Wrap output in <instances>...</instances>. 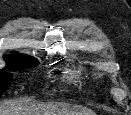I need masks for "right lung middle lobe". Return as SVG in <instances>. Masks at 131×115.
<instances>
[{
  "label": "right lung middle lobe",
  "mask_w": 131,
  "mask_h": 115,
  "mask_svg": "<svg viewBox=\"0 0 131 115\" xmlns=\"http://www.w3.org/2000/svg\"><path fill=\"white\" fill-rule=\"evenodd\" d=\"M39 63L30 57H25L22 59H19L17 62L11 64V66L3 71H18V70H24L30 67H35ZM10 73H0V95L1 93L5 92L8 87V82L11 79Z\"/></svg>",
  "instance_id": "1"
}]
</instances>
